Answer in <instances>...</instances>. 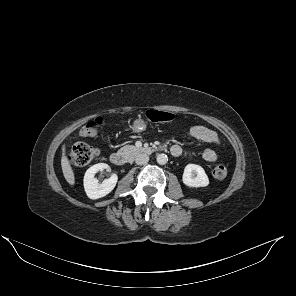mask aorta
<instances>
[{"label": "aorta", "instance_id": "762f6f07", "mask_svg": "<svg viewBox=\"0 0 296 296\" xmlns=\"http://www.w3.org/2000/svg\"><path fill=\"white\" fill-rule=\"evenodd\" d=\"M156 160L158 164L165 165L168 161V157L166 154H158Z\"/></svg>", "mask_w": 296, "mask_h": 296}]
</instances>
